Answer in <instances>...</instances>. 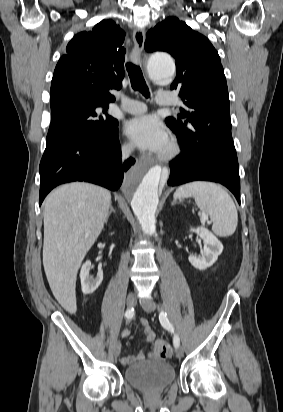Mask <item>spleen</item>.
I'll list each match as a JSON object with an SVG mask.
<instances>
[{
  "instance_id": "obj_1",
  "label": "spleen",
  "mask_w": 283,
  "mask_h": 412,
  "mask_svg": "<svg viewBox=\"0 0 283 412\" xmlns=\"http://www.w3.org/2000/svg\"><path fill=\"white\" fill-rule=\"evenodd\" d=\"M193 197L200 210L210 216L213 232L220 237L231 236L238 224V214L231 197L219 185L195 181L179 187L175 199Z\"/></svg>"
}]
</instances>
